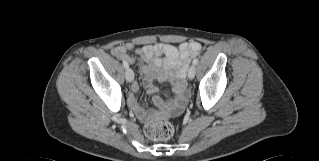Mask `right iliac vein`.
I'll return each instance as SVG.
<instances>
[{"instance_id": "1", "label": "right iliac vein", "mask_w": 319, "mask_h": 161, "mask_svg": "<svg viewBox=\"0 0 319 161\" xmlns=\"http://www.w3.org/2000/svg\"><path fill=\"white\" fill-rule=\"evenodd\" d=\"M125 76H126L127 82H132V80L134 79L133 70L131 68H127L125 72Z\"/></svg>"}]
</instances>
